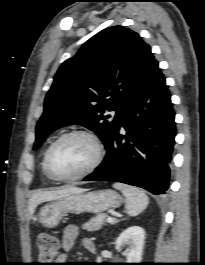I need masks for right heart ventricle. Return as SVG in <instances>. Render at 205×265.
Returning <instances> with one entry per match:
<instances>
[{
	"mask_svg": "<svg viewBox=\"0 0 205 265\" xmlns=\"http://www.w3.org/2000/svg\"><path fill=\"white\" fill-rule=\"evenodd\" d=\"M42 168H43V173H44L45 177H46L47 179L52 180V178L47 174V172H46V170H45V168H44L43 163H42Z\"/></svg>",
	"mask_w": 205,
	"mask_h": 265,
	"instance_id": "right-heart-ventricle-1",
	"label": "right heart ventricle"
}]
</instances>
